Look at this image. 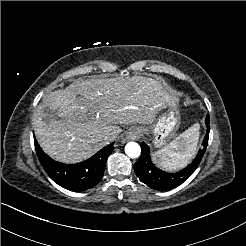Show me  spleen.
<instances>
[{
  "instance_id": "1",
  "label": "spleen",
  "mask_w": 246,
  "mask_h": 246,
  "mask_svg": "<svg viewBox=\"0 0 246 246\" xmlns=\"http://www.w3.org/2000/svg\"><path fill=\"white\" fill-rule=\"evenodd\" d=\"M199 135V124L195 123L167 146L155 152V162L166 171L185 167L196 152Z\"/></svg>"
}]
</instances>
